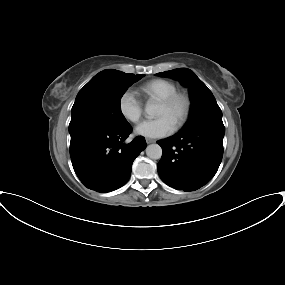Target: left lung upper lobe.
Here are the masks:
<instances>
[{
	"label": "left lung upper lobe",
	"mask_w": 285,
	"mask_h": 285,
	"mask_svg": "<svg viewBox=\"0 0 285 285\" xmlns=\"http://www.w3.org/2000/svg\"><path fill=\"white\" fill-rule=\"evenodd\" d=\"M157 75L176 79L189 88L192 102L190 117L180 132L189 131L206 122L223 124L221 109L212 92L193 71L187 68H179L157 73Z\"/></svg>",
	"instance_id": "5c2ea615"
}]
</instances>
